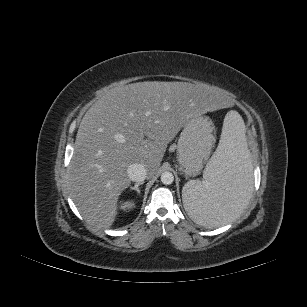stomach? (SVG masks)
<instances>
[{
  "label": "stomach",
  "instance_id": "1",
  "mask_svg": "<svg viewBox=\"0 0 307 307\" xmlns=\"http://www.w3.org/2000/svg\"><path fill=\"white\" fill-rule=\"evenodd\" d=\"M214 124L204 115L192 117L183 127L177 145V161L186 176H196L209 159L215 142Z\"/></svg>",
  "mask_w": 307,
  "mask_h": 307
}]
</instances>
